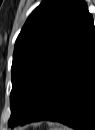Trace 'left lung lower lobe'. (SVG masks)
Returning <instances> with one entry per match:
<instances>
[{
    "mask_svg": "<svg viewBox=\"0 0 95 130\" xmlns=\"http://www.w3.org/2000/svg\"><path fill=\"white\" fill-rule=\"evenodd\" d=\"M48 119L90 130L95 122V29L90 20L68 53L52 68L18 121Z\"/></svg>",
    "mask_w": 95,
    "mask_h": 130,
    "instance_id": "0a47b994",
    "label": "left lung lower lobe"
}]
</instances>
